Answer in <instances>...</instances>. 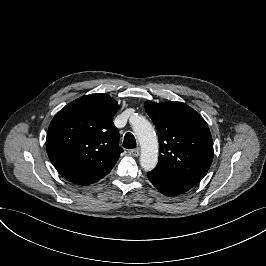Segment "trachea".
<instances>
[{
	"label": "trachea",
	"instance_id": "3493384b",
	"mask_svg": "<svg viewBox=\"0 0 266 266\" xmlns=\"http://www.w3.org/2000/svg\"><path fill=\"white\" fill-rule=\"evenodd\" d=\"M123 147L132 149L136 147V140L133 134L127 133L124 137Z\"/></svg>",
	"mask_w": 266,
	"mask_h": 266
}]
</instances>
